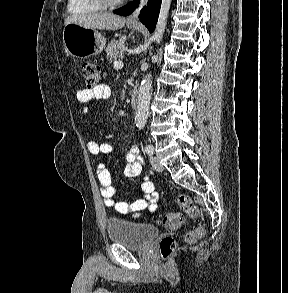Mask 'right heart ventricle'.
Masks as SVG:
<instances>
[{
  "label": "right heart ventricle",
  "instance_id": "e07e8e85",
  "mask_svg": "<svg viewBox=\"0 0 288 293\" xmlns=\"http://www.w3.org/2000/svg\"><path fill=\"white\" fill-rule=\"evenodd\" d=\"M102 9H104V6L95 0H68L67 3V10L72 14H85Z\"/></svg>",
  "mask_w": 288,
  "mask_h": 293
}]
</instances>
